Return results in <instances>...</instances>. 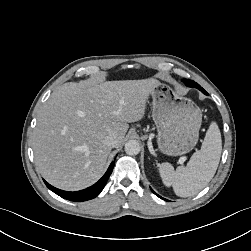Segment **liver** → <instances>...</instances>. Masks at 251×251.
<instances>
[{"mask_svg": "<svg viewBox=\"0 0 251 251\" xmlns=\"http://www.w3.org/2000/svg\"><path fill=\"white\" fill-rule=\"evenodd\" d=\"M159 82L142 80L69 82L43 104L33 132L35 164L53 186L69 191L94 184L102 175L115 134L119 147L128 123L145 115L148 97Z\"/></svg>", "mask_w": 251, "mask_h": 251, "instance_id": "obj_1", "label": "liver"}]
</instances>
